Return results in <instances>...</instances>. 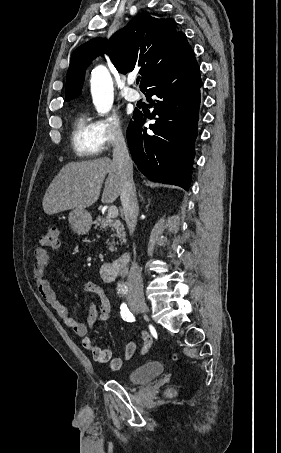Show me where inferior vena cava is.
Here are the masks:
<instances>
[{
	"mask_svg": "<svg viewBox=\"0 0 281 453\" xmlns=\"http://www.w3.org/2000/svg\"><path fill=\"white\" fill-rule=\"evenodd\" d=\"M113 144V160L117 162L120 174V198L124 208L126 224L130 235H132L135 231L138 216L136 190L133 182V164L122 132H116ZM128 281V299L130 301H144L143 281L140 269L136 263L131 265Z\"/></svg>",
	"mask_w": 281,
	"mask_h": 453,
	"instance_id": "obj_1",
	"label": "inferior vena cava"
}]
</instances>
